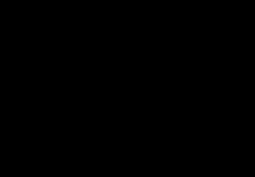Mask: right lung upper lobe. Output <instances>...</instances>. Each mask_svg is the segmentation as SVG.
Wrapping results in <instances>:
<instances>
[{"mask_svg":"<svg viewBox=\"0 0 255 177\" xmlns=\"http://www.w3.org/2000/svg\"><path fill=\"white\" fill-rule=\"evenodd\" d=\"M127 38L128 35L82 31L59 43L50 54L43 73L44 100L49 113L63 105L100 97L92 85L97 80V68L103 72L110 54L126 45Z\"/></svg>","mask_w":255,"mask_h":177,"instance_id":"1","label":"right lung upper lobe"}]
</instances>
